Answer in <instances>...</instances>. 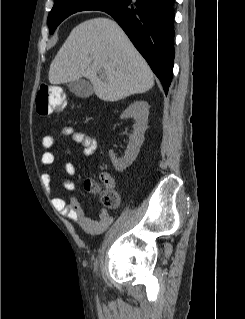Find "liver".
I'll list each match as a JSON object with an SVG mask.
<instances>
[{
  "instance_id": "obj_1",
  "label": "liver",
  "mask_w": 245,
  "mask_h": 319,
  "mask_svg": "<svg viewBox=\"0 0 245 319\" xmlns=\"http://www.w3.org/2000/svg\"><path fill=\"white\" fill-rule=\"evenodd\" d=\"M82 77L90 80L98 98L112 102L145 93L154 85L145 59L121 27L105 17L77 25L51 62L48 79L53 85Z\"/></svg>"
}]
</instances>
